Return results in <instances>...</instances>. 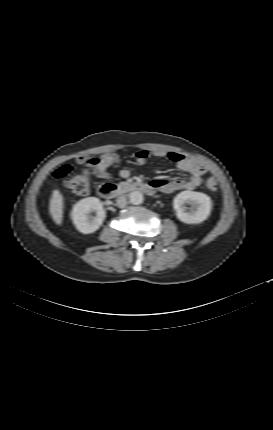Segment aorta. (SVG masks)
I'll return each mask as SVG.
<instances>
[{
    "instance_id": "1",
    "label": "aorta",
    "mask_w": 273,
    "mask_h": 430,
    "mask_svg": "<svg viewBox=\"0 0 273 430\" xmlns=\"http://www.w3.org/2000/svg\"><path fill=\"white\" fill-rule=\"evenodd\" d=\"M129 200L133 205H140L144 201V196L140 191H133L129 194Z\"/></svg>"
}]
</instances>
